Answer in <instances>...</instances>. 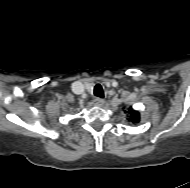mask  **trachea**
Here are the masks:
<instances>
[{
    "label": "trachea",
    "mask_w": 190,
    "mask_h": 188,
    "mask_svg": "<svg viewBox=\"0 0 190 188\" xmlns=\"http://www.w3.org/2000/svg\"><path fill=\"white\" fill-rule=\"evenodd\" d=\"M94 95L97 97H100V98L104 97V92H103L102 86L100 84H97L94 87Z\"/></svg>",
    "instance_id": "obj_1"
}]
</instances>
